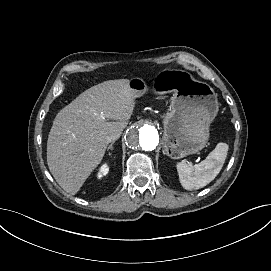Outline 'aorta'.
Returning <instances> with one entry per match:
<instances>
[{
  "label": "aorta",
  "mask_w": 271,
  "mask_h": 271,
  "mask_svg": "<svg viewBox=\"0 0 271 271\" xmlns=\"http://www.w3.org/2000/svg\"><path fill=\"white\" fill-rule=\"evenodd\" d=\"M125 137L128 147L134 150L153 151L159 143L157 129L145 120L135 122Z\"/></svg>",
  "instance_id": "1"
}]
</instances>
